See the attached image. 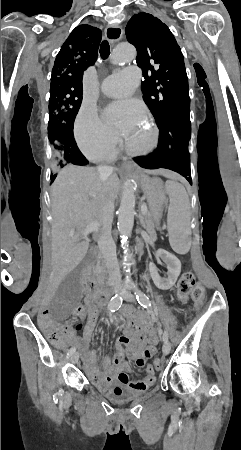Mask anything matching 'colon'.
Segmentation results:
<instances>
[{
  "instance_id": "obj_1",
  "label": "colon",
  "mask_w": 241,
  "mask_h": 450,
  "mask_svg": "<svg viewBox=\"0 0 241 450\" xmlns=\"http://www.w3.org/2000/svg\"><path fill=\"white\" fill-rule=\"evenodd\" d=\"M177 296L181 303H186L188 299L192 297L191 304L196 306L198 310H201L203 306H208L209 299L204 297V288L199 281H196L195 274L192 271H188L183 274L178 283ZM85 308L82 305L77 306L76 313H84ZM155 367H160V362L154 363Z\"/></svg>"
}]
</instances>
